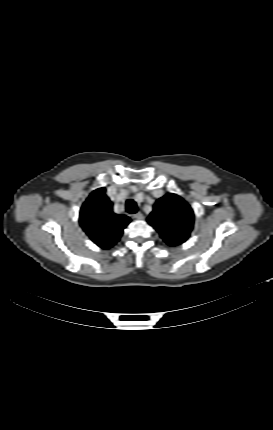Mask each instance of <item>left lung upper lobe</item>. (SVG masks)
<instances>
[{"mask_svg": "<svg viewBox=\"0 0 273 430\" xmlns=\"http://www.w3.org/2000/svg\"><path fill=\"white\" fill-rule=\"evenodd\" d=\"M147 222L159 232L168 245L176 246L189 237L194 213L180 196L168 193L156 201Z\"/></svg>", "mask_w": 273, "mask_h": 430, "instance_id": "1", "label": "left lung upper lobe"}]
</instances>
